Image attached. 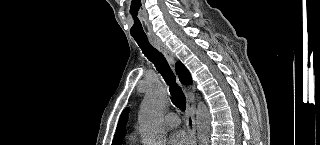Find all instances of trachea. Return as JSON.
<instances>
[{
	"label": "trachea",
	"instance_id": "3493384b",
	"mask_svg": "<svg viewBox=\"0 0 320 145\" xmlns=\"http://www.w3.org/2000/svg\"><path fill=\"white\" fill-rule=\"evenodd\" d=\"M133 38L141 48L143 54L155 65L157 71L169 85L173 104L181 111H184L186 109L185 95L182 88L177 84L176 77L164 55L150 44L147 37Z\"/></svg>",
	"mask_w": 320,
	"mask_h": 145
}]
</instances>
